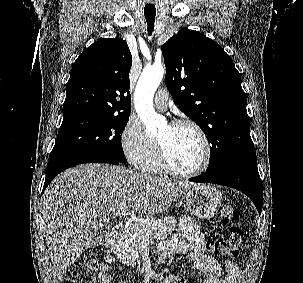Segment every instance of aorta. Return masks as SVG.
<instances>
[{
  "instance_id": "obj_1",
  "label": "aorta",
  "mask_w": 303,
  "mask_h": 283,
  "mask_svg": "<svg viewBox=\"0 0 303 283\" xmlns=\"http://www.w3.org/2000/svg\"><path fill=\"white\" fill-rule=\"evenodd\" d=\"M164 67L155 64L144 68L135 89V108L146 127L147 135H154L166 121L159 116L153 106V97L164 76Z\"/></svg>"
}]
</instances>
